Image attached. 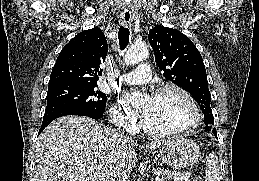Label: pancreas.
Wrapping results in <instances>:
<instances>
[{
  "label": "pancreas",
  "mask_w": 259,
  "mask_h": 181,
  "mask_svg": "<svg viewBox=\"0 0 259 181\" xmlns=\"http://www.w3.org/2000/svg\"><path fill=\"white\" fill-rule=\"evenodd\" d=\"M153 173L156 176L166 177L172 181H190V173L188 172H171L164 169H153Z\"/></svg>",
  "instance_id": "pancreas-1"
}]
</instances>
